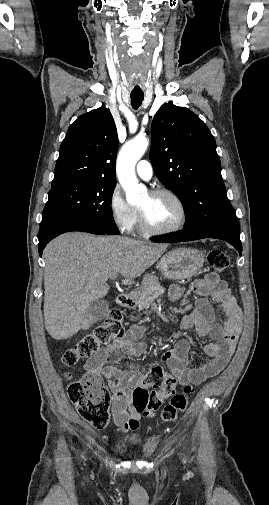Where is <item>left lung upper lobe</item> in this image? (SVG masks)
<instances>
[{"label":"left lung upper lobe","instance_id":"5c2ea615","mask_svg":"<svg viewBox=\"0 0 269 505\" xmlns=\"http://www.w3.org/2000/svg\"><path fill=\"white\" fill-rule=\"evenodd\" d=\"M151 137L154 172L178 196L187 215L182 232L239 230L221 176L216 142L205 123L189 109L169 102L154 116Z\"/></svg>","mask_w":269,"mask_h":505}]
</instances>
